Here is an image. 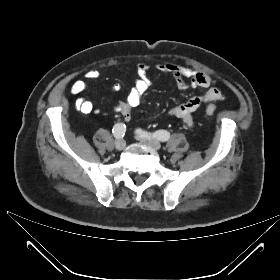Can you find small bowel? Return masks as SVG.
I'll return each instance as SVG.
<instances>
[{
  "label": "small bowel",
  "mask_w": 280,
  "mask_h": 280,
  "mask_svg": "<svg viewBox=\"0 0 280 280\" xmlns=\"http://www.w3.org/2000/svg\"><path fill=\"white\" fill-rule=\"evenodd\" d=\"M152 67L155 68L153 77L149 75ZM136 70L137 78L134 82V86L129 91L126 100L119 102L115 108L116 111L121 114L125 122L130 121L133 108L141 103L142 97L149 88L152 80L161 75H171L175 79L177 87L181 90L189 88L207 89L204 94L193 96L186 102L169 111L171 116L179 118L187 127H193V113L197 111L201 105L224 98L223 92L219 88L213 86L215 80L211 76L185 65L174 62H161L152 65L149 62L142 61L137 65ZM99 77L100 72L96 69H90L85 73V78L89 81L96 80ZM86 89L87 82L82 79L75 80L71 85V92L75 95L83 93ZM119 89L120 86L118 84H113L111 87L113 92ZM75 107L84 114H90L94 110L93 103L84 97L76 99Z\"/></svg>",
  "instance_id": "1"
}]
</instances>
